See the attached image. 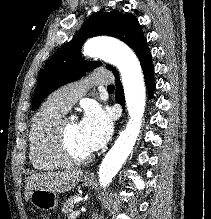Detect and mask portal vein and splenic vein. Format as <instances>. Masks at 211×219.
Wrapping results in <instances>:
<instances>
[{
    "label": "portal vein and splenic vein",
    "mask_w": 211,
    "mask_h": 219,
    "mask_svg": "<svg viewBox=\"0 0 211 219\" xmlns=\"http://www.w3.org/2000/svg\"><path fill=\"white\" fill-rule=\"evenodd\" d=\"M80 215V210H76L69 215V219H75Z\"/></svg>",
    "instance_id": "portal-vein-and-splenic-vein-1"
}]
</instances>
